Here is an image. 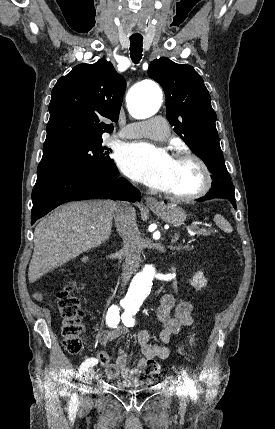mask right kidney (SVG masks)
Returning <instances> with one entry per match:
<instances>
[{"label":"right kidney","mask_w":275,"mask_h":429,"mask_svg":"<svg viewBox=\"0 0 275 429\" xmlns=\"http://www.w3.org/2000/svg\"><path fill=\"white\" fill-rule=\"evenodd\" d=\"M87 259H88L87 257H83L82 261H87Z\"/></svg>","instance_id":"ca27d5eb"}]
</instances>
